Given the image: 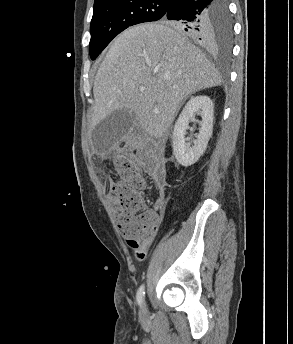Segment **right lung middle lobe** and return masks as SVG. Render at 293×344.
Returning a JSON list of instances; mask_svg holds the SVG:
<instances>
[{"label":"right lung middle lobe","mask_w":293,"mask_h":344,"mask_svg":"<svg viewBox=\"0 0 293 344\" xmlns=\"http://www.w3.org/2000/svg\"><path fill=\"white\" fill-rule=\"evenodd\" d=\"M171 0H112L94 5L90 25V57L95 60L104 48L123 30L135 24L163 18ZM211 19L213 44L229 50L232 24L226 0H218ZM173 26L177 27L175 23Z\"/></svg>","instance_id":"obj_1"}]
</instances>
